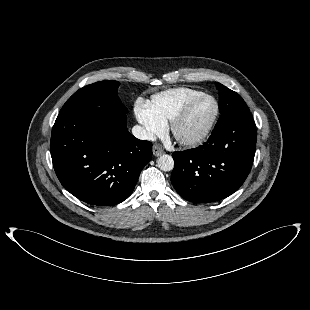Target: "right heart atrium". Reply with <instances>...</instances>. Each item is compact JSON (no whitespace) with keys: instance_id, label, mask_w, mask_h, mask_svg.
I'll use <instances>...</instances> for the list:
<instances>
[{"instance_id":"right-heart-atrium-1","label":"right heart atrium","mask_w":310,"mask_h":310,"mask_svg":"<svg viewBox=\"0 0 310 310\" xmlns=\"http://www.w3.org/2000/svg\"><path fill=\"white\" fill-rule=\"evenodd\" d=\"M135 114L148 139L161 135L165 131L166 123L156 116L148 102H139L135 108Z\"/></svg>"}]
</instances>
